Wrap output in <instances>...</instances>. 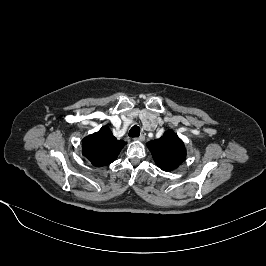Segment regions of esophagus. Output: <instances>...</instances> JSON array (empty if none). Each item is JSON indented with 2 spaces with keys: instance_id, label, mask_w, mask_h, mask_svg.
<instances>
[{
  "instance_id": "34e87169",
  "label": "esophagus",
  "mask_w": 266,
  "mask_h": 266,
  "mask_svg": "<svg viewBox=\"0 0 266 266\" xmlns=\"http://www.w3.org/2000/svg\"><path fill=\"white\" fill-rule=\"evenodd\" d=\"M138 141H144L145 140V135L141 134L139 137L135 138Z\"/></svg>"
}]
</instances>
